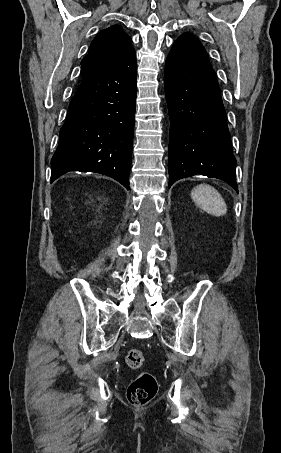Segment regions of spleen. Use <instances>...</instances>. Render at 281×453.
Here are the masks:
<instances>
[{
  "label": "spleen",
  "mask_w": 281,
  "mask_h": 453,
  "mask_svg": "<svg viewBox=\"0 0 281 453\" xmlns=\"http://www.w3.org/2000/svg\"><path fill=\"white\" fill-rule=\"evenodd\" d=\"M196 188H199L200 194L196 196L194 188L191 192V196L197 206H200L202 210H206L208 214H214V216L226 214L227 204L225 200H223L220 192H218L214 186H210V184H199Z\"/></svg>",
  "instance_id": "obj_1"
}]
</instances>
